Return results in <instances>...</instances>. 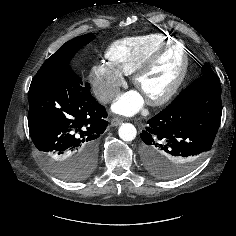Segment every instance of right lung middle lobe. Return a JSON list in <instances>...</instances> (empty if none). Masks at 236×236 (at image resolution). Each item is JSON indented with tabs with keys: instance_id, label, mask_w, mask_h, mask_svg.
<instances>
[{
	"instance_id": "dd1d6c3e",
	"label": "right lung middle lobe",
	"mask_w": 236,
	"mask_h": 236,
	"mask_svg": "<svg viewBox=\"0 0 236 236\" xmlns=\"http://www.w3.org/2000/svg\"><path fill=\"white\" fill-rule=\"evenodd\" d=\"M93 37L94 34L90 33L66 42L44 62L36 75H52L71 70L69 66L71 58L82 46L88 44ZM46 162L54 174L67 181H78L86 178L96 164V160L93 158H86L80 162L47 159Z\"/></svg>"
}]
</instances>
